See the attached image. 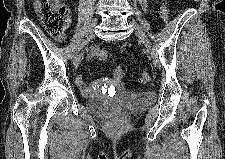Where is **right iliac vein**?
<instances>
[{
	"label": "right iliac vein",
	"instance_id": "1",
	"mask_svg": "<svg viewBox=\"0 0 225 159\" xmlns=\"http://www.w3.org/2000/svg\"><path fill=\"white\" fill-rule=\"evenodd\" d=\"M98 23V20L96 18H94L89 27H88V30H87V33H86V38L87 40L91 39L93 37V33H94V30H95V27ZM80 60H81V54L80 53H76L75 56H74V59H73V62H74V65L77 67L80 63Z\"/></svg>",
	"mask_w": 225,
	"mask_h": 159
}]
</instances>
